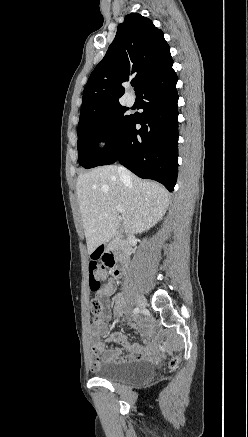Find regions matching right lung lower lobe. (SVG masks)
<instances>
[{
    "label": "right lung lower lobe",
    "instance_id": "1",
    "mask_svg": "<svg viewBox=\"0 0 248 437\" xmlns=\"http://www.w3.org/2000/svg\"><path fill=\"white\" fill-rule=\"evenodd\" d=\"M172 65L170 58L139 88L136 94L144 112L132 115L117 143L93 167L118 160L137 176L173 191L178 172V78Z\"/></svg>",
    "mask_w": 248,
    "mask_h": 437
}]
</instances>
